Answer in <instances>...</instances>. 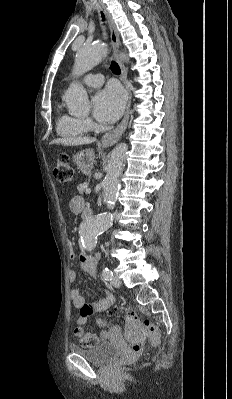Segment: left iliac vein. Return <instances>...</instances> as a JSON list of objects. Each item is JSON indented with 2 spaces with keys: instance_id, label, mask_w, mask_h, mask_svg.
I'll return each instance as SVG.
<instances>
[{
  "instance_id": "obj_1",
  "label": "left iliac vein",
  "mask_w": 232,
  "mask_h": 399,
  "mask_svg": "<svg viewBox=\"0 0 232 399\" xmlns=\"http://www.w3.org/2000/svg\"><path fill=\"white\" fill-rule=\"evenodd\" d=\"M111 285L117 286V288H119L121 285L120 279L119 278H111Z\"/></svg>"
}]
</instances>
